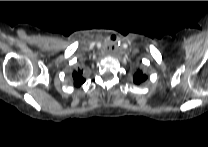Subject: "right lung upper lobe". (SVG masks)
Listing matches in <instances>:
<instances>
[{
	"label": "right lung upper lobe",
	"mask_w": 208,
	"mask_h": 147,
	"mask_svg": "<svg viewBox=\"0 0 208 147\" xmlns=\"http://www.w3.org/2000/svg\"><path fill=\"white\" fill-rule=\"evenodd\" d=\"M83 70H74L72 73L73 79H74V85L76 87H79L81 84L85 82V79L82 76Z\"/></svg>",
	"instance_id": "cb5924a9"
}]
</instances>
